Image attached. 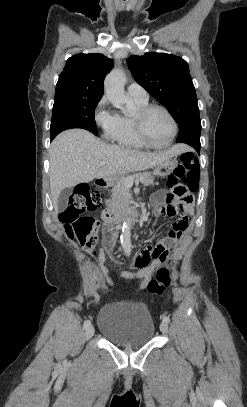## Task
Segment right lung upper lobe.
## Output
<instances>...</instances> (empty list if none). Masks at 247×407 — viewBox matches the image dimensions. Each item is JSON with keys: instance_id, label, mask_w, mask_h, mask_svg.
Listing matches in <instances>:
<instances>
[{"instance_id": "cb5924a9", "label": "right lung upper lobe", "mask_w": 247, "mask_h": 407, "mask_svg": "<svg viewBox=\"0 0 247 407\" xmlns=\"http://www.w3.org/2000/svg\"><path fill=\"white\" fill-rule=\"evenodd\" d=\"M114 61L101 54H78L69 58L56 85L55 98H100L105 76Z\"/></svg>"}]
</instances>
